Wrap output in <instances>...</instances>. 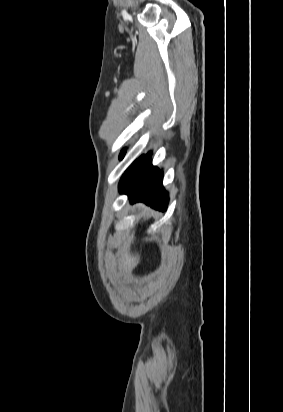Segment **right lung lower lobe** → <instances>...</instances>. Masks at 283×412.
Returning a JSON list of instances; mask_svg holds the SVG:
<instances>
[{
  "instance_id": "obj_1",
  "label": "right lung lower lobe",
  "mask_w": 283,
  "mask_h": 412,
  "mask_svg": "<svg viewBox=\"0 0 283 412\" xmlns=\"http://www.w3.org/2000/svg\"><path fill=\"white\" fill-rule=\"evenodd\" d=\"M163 172L152 166L151 153L139 157L124 173L119 183L120 193L127 194L131 203L144 202L164 211L168 194L162 185Z\"/></svg>"
}]
</instances>
